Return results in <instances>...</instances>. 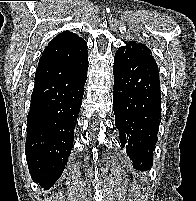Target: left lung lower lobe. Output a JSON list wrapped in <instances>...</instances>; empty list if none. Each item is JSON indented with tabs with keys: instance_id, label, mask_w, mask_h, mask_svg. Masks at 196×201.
Masks as SVG:
<instances>
[{
	"instance_id": "left-lung-lower-lobe-1",
	"label": "left lung lower lobe",
	"mask_w": 196,
	"mask_h": 201,
	"mask_svg": "<svg viewBox=\"0 0 196 201\" xmlns=\"http://www.w3.org/2000/svg\"><path fill=\"white\" fill-rule=\"evenodd\" d=\"M113 109L120 142L133 167L152 166L161 122L159 72L153 56L134 44L121 46L114 57Z\"/></svg>"
}]
</instances>
